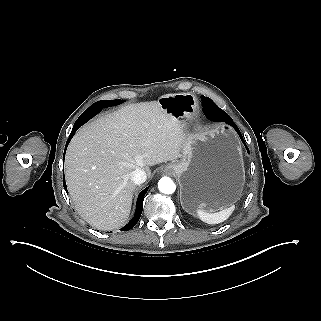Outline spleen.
Instances as JSON below:
<instances>
[{
	"instance_id": "spleen-1",
	"label": "spleen",
	"mask_w": 321,
	"mask_h": 321,
	"mask_svg": "<svg viewBox=\"0 0 321 321\" xmlns=\"http://www.w3.org/2000/svg\"><path fill=\"white\" fill-rule=\"evenodd\" d=\"M233 211H234V206L232 205L229 208H226L218 213H208L202 210H198L197 215L203 222H206L209 224H217L226 220Z\"/></svg>"
}]
</instances>
